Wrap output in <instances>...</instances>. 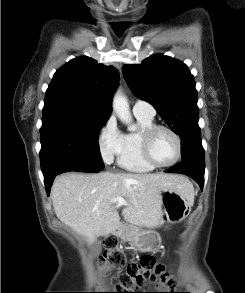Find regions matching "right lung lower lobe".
Returning <instances> with one entry per match:
<instances>
[{
  "instance_id": "1",
  "label": "right lung lower lobe",
  "mask_w": 245,
  "mask_h": 293,
  "mask_svg": "<svg viewBox=\"0 0 245 293\" xmlns=\"http://www.w3.org/2000/svg\"><path fill=\"white\" fill-rule=\"evenodd\" d=\"M101 170H102L101 167L90 166V165H86V164H65V165H62L51 175L44 177L47 194L49 195L54 178L58 174H61L63 172H67V171L99 172Z\"/></svg>"
}]
</instances>
